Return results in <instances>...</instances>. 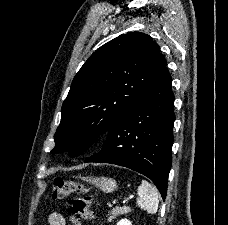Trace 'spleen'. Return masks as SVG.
<instances>
[{"mask_svg": "<svg viewBox=\"0 0 228 225\" xmlns=\"http://www.w3.org/2000/svg\"><path fill=\"white\" fill-rule=\"evenodd\" d=\"M137 205L143 211H147L149 215H154L158 211L159 193L156 187L150 185L148 181H142L140 187L137 189Z\"/></svg>", "mask_w": 228, "mask_h": 225, "instance_id": "obj_1", "label": "spleen"}]
</instances>
